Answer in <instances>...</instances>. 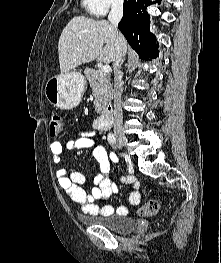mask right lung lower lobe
<instances>
[{"mask_svg":"<svg viewBox=\"0 0 221 263\" xmlns=\"http://www.w3.org/2000/svg\"><path fill=\"white\" fill-rule=\"evenodd\" d=\"M160 4L161 0H157ZM150 0H124L123 18L118 28L141 59L158 56L156 37L150 33V17L146 7Z\"/></svg>","mask_w":221,"mask_h":263,"instance_id":"right-lung-lower-lobe-1","label":"right lung lower lobe"}]
</instances>
